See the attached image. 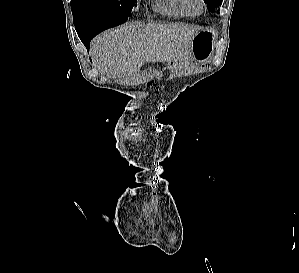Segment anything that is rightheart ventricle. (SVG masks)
<instances>
[{
    "label": "right heart ventricle",
    "instance_id": "obj_1",
    "mask_svg": "<svg viewBox=\"0 0 299 273\" xmlns=\"http://www.w3.org/2000/svg\"><path fill=\"white\" fill-rule=\"evenodd\" d=\"M156 9L175 18L190 16L184 0H157Z\"/></svg>",
    "mask_w": 299,
    "mask_h": 273
}]
</instances>
